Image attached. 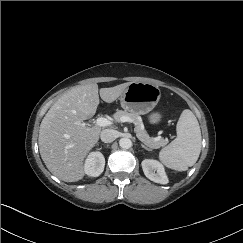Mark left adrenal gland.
Here are the masks:
<instances>
[{"instance_id":"obj_1","label":"left adrenal gland","mask_w":243,"mask_h":243,"mask_svg":"<svg viewBox=\"0 0 243 243\" xmlns=\"http://www.w3.org/2000/svg\"><path fill=\"white\" fill-rule=\"evenodd\" d=\"M141 147L147 151H151V149L147 148L145 145L141 144Z\"/></svg>"}]
</instances>
